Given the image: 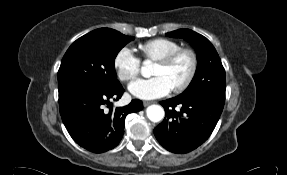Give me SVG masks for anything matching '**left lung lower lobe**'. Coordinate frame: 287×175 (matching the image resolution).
<instances>
[{"label": "left lung lower lobe", "mask_w": 287, "mask_h": 175, "mask_svg": "<svg viewBox=\"0 0 287 175\" xmlns=\"http://www.w3.org/2000/svg\"><path fill=\"white\" fill-rule=\"evenodd\" d=\"M166 117L154 129L158 142L173 153H187L204 143L213 132L224 102L202 95L161 101ZM180 107L179 111L175 107Z\"/></svg>", "instance_id": "0a47b994"}]
</instances>
